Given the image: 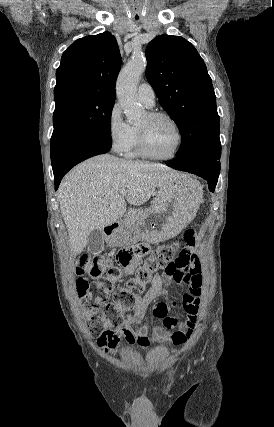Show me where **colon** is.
<instances>
[{"label":"colon","instance_id":"1","mask_svg":"<svg viewBox=\"0 0 274 427\" xmlns=\"http://www.w3.org/2000/svg\"><path fill=\"white\" fill-rule=\"evenodd\" d=\"M180 245L167 244L162 245L152 252L145 260L144 264L136 270V276L130 280L128 286L119 287L115 291L116 302L127 308H133L136 304V296L145 289L146 283L152 278L156 272L166 271V269L176 261V256L179 253ZM147 248L143 244L129 246L126 250L118 249L114 253L104 255V261L108 264L103 275L101 274L100 284L102 292L96 296L86 300L84 309V318L90 333L97 338L99 332L104 329L107 319H115L119 317L120 312L114 303H105L107 294L114 290V285L119 281V273L126 264L134 263L137 259L145 256ZM76 273L79 277H95L100 272V259L98 257L91 258L87 250H80L77 253ZM74 289L78 296L87 294V280L78 278L74 282ZM103 309L100 310V306ZM180 364L188 363L187 355L179 356Z\"/></svg>","mask_w":274,"mask_h":427}]
</instances>
